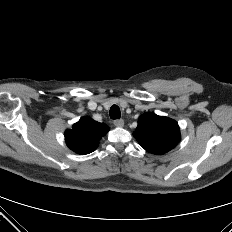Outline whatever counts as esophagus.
<instances>
[{
	"mask_svg": "<svg viewBox=\"0 0 232 232\" xmlns=\"http://www.w3.org/2000/svg\"><path fill=\"white\" fill-rule=\"evenodd\" d=\"M114 125L116 127H123L124 126V120L123 119L114 120Z\"/></svg>",
	"mask_w": 232,
	"mask_h": 232,
	"instance_id": "obj_1",
	"label": "esophagus"
}]
</instances>
